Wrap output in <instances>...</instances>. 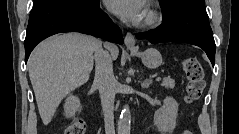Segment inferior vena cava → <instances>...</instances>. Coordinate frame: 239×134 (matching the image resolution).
<instances>
[{
	"label": "inferior vena cava",
	"instance_id": "602c4592",
	"mask_svg": "<svg viewBox=\"0 0 239 134\" xmlns=\"http://www.w3.org/2000/svg\"><path fill=\"white\" fill-rule=\"evenodd\" d=\"M95 82L98 86L102 109L104 113L105 134H115L114 127V97L115 78L112 59L109 52L100 49L94 55Z\"/></svg>",
	"mask_w": 239,
	"mask_h": 134
}]
</instances>
